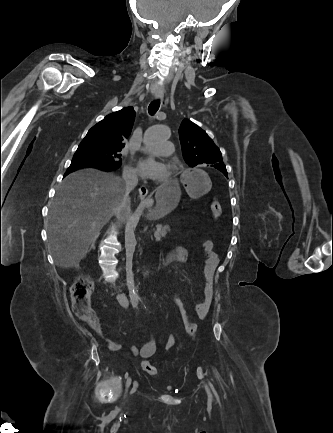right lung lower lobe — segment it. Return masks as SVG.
<instances>
[{
    "mask_svg": "<svg viewBox=\"0 0 333 433\" xmlns=\"http://www.w3.org/2000/svg\"><path fill=\"white\" fill-rule=\"evenodd\" d=\"M84 167H97L100 169H103L105 171H114L115 168L110 167V166H106V165H102L96 162H86V161H82V162H71L70 167L68 168V170L66 171L64 177L66 175H68L69 173H71L74 170L80 169V168H84Z\"/></svg>",
    "mask_w": 333,
    "mask_h": 433,
    "instance_id": "1",
    "label": "right lung lower lobe"
}]
</instances>
